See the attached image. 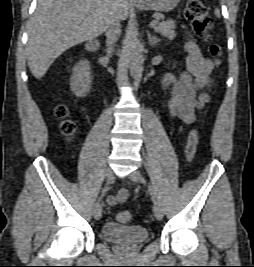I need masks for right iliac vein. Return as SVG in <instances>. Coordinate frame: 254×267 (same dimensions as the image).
<instances>
[{
	"label": "right iliac vein",
	"mask_w": 254,
	"mask_h": 267,
	"mask_svg": "<svg viewBox=\"0 0 254 267\" xmlns=\"http://www.w3.org/2000/svg\"><path fill=\"white\" fill-rule=\"evenodd\" d=\"M106 181H111L113 179V172L111 169H107L104 174ZM93 215L96 220H99L102 216V206L99 202H96L93 206Z\"/></svg>",
	"instance_id": "63e3f726"
}]
</instances>
